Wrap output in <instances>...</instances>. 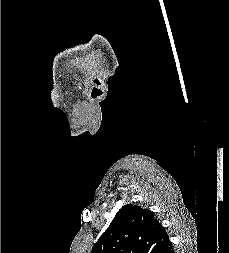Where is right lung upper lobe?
Returning <instances> with one entry per match:
<instances>
[{
	"instance_id": "right-lung-upper-lobe-1",
	"label": "right lung upper lobe",
	"mask_w": 229,
	"mask_h": 253,
	"mask_svg": "<svg viewBox=\"0 0 229 253\" xmlns=\"http://www.w3.org/2000/svg\"><path fill=\"white\" fill-rule=\"evenodd\" d=\"M170 243L151 211L128 204L117 212L91 253H160Z\"/></svg>"
}]
</instances>
